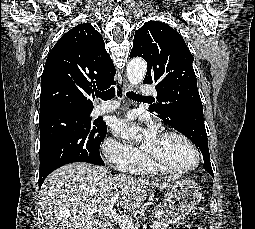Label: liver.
I'll list each match as a JSON object with an SVG mask.
<instances>
[{"label":"liver","instance_id":"liver-1","mask_svg":"<svg viewBox=\"0 0 255 229\" xmlns=\"http://www.w3.org/2000/svg\"><path fill=\"white\" fill-rule=\"evenodd\" d=\"M167 183L110 175L102 166L86 162L64 165L52 172L40 190V205L50 229H107L103 216L110 203L124 212L139 209L150 188ZM118 196L117 199H114Z\"/></svg>","mask_w":255,"mask_h":229}]
</instances>
